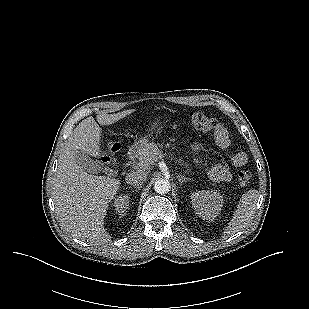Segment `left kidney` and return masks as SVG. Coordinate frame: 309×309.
Wrapping results in <instances>:
<instances>
[{
    "mask_svg": "<svg viewBox=\"0 0 309 309\" xmlns=\"http://www.w3.org/2000/svg\"><path fill=\"white\" fill-rule=\"evenodd\" d=\"M191 202L199 217L212 222L221 211L223 198L216 191H198L192 193Z\"/></svg>",
    "mask_w": 309,
    "mask_h": 309,
    "instance_id": "5707ae66",
    "label": "left kidney"
}]
</instances>
